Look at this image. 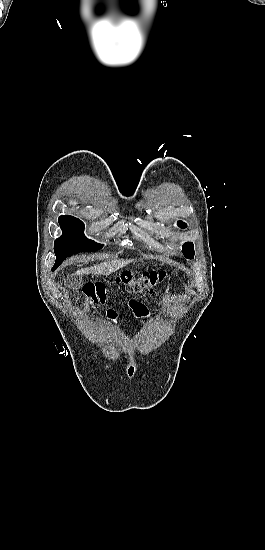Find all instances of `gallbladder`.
Wrapping results in <instances>:
<instances>
[{"instance_id":"gallbladder-1","label":"gallbladder","mask_w":265,"mask_h":550,"mask_svg":"<svg viewBox=\"0 0 265 550\" xmlns=\"http://www.w3.org/2000/svg\"><path fill=\"white\" fill-rule=\"evenodd\" d=\"M81 285H82V280L78 278H74L68 281V286L74 290L80 288Z\"/></svg>"}]
</instances>
